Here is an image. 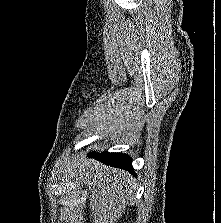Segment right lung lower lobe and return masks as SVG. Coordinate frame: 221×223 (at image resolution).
Wrapping results in <instances>:
<instances>
[{"mask_svg": "<svg viewBox=\"0 0 221 223\" xmlns=\"http://www.w3.org/2000/svg\"><path fill=\"white\" fill-rule=\"evenodd\" d=\"M89 156L96 157L97 160L103 162L106 165L125 169L132 174L134 173L133 167L131 165L132 160L127 154L109 152L97 154L96 152H91Z\"/></svg>", "mask_w": 221, "mask_h": 223, "instance_id": "obj_1", "label": "right lung lower lobe"}]
</instances>
